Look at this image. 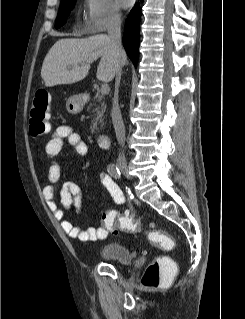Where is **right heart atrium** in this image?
<instances>
[{
    "instance_id": "d8ad5b80",
    "label": "right heart atrium",
    "mask_w": 245,
    "mask_h": 319,
    "mask_svg": "<svg viewBox=\"0 0 245 319\" xmlns=\"http://www.w3.org/2000/svg\"><path fill=\"white\" fill-rule=\"evenodd\" d=\"M121 12L114 0H84L83 28L87 33H99L117 26Z\"/></svg>"
}]
</instances>
